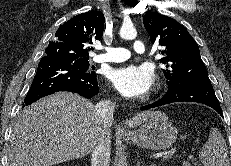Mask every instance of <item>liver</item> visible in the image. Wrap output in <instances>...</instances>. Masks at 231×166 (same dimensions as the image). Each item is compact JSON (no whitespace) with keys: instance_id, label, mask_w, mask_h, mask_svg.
I'll list each match as a JSON object with an SVG mask.
<instances>
[{"instance_id":"obj_1","label":"liver","mask_w":231,"mask_h":166,"mask_svg":"<svg viewBox=\"0 0 231 166\" xmlns=\"http://www.w3.org/2000/svg\"><path fill=\"white\" fill-rule=\"evenodd\" d=\"M156 113H138L126 125L139 126ZM104 130L95 106L83 97L68 92L44 97L25 107L14 122L8 166H53L84 157L94 151Z\"/></svg>"}]
</instances>
